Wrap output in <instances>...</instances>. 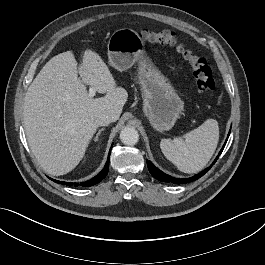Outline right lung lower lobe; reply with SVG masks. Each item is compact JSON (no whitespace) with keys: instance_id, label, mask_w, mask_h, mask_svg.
I'll return each instance as SVG.
<instances>
[{"instance_id":"right-lung-lower-lobe-1","label":"right lung lower lobe","mask_w":265,"mask_h":265,"mask_svg":"<svg viewBox=\"0 0 265 265\" xmlns=\"http://www.w3.org/2000/svg\"><path fill=\"white\" fill-rule=\"evenodd\" d=\"M109 159H110V154L108 155V159H107V162L105 164V167L103 168V170L98 174L96 175L94 178L88 180V181H85V182H82V183H71V182H63V181H57V180H53L54 182H57V183H61L63 185H67V186H82V187H88V186H93L99 182H101L107 175L108 173V170H109Z\"/></svg>"}]
</instances>
